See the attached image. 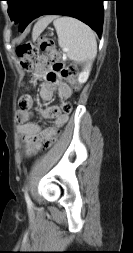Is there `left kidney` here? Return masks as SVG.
Returning <instances> with one entry per match:
<instances>
[{
	"mask_svg": "<svg viewBox=\"0 0 133 253\" xmlns=\"http://www.w3.org/2000/svg\"><path fill=\"white\" fill-rule=\"evenodd\" d=\"M90 74V66L86 67L81 73H79L77 81L79 84H83L87 81Z\"/></svg>",
	"mask_w": 133,
	"mask_h": 253,
	"instance_id": "left-kidney-1",
	"label": "left kidney"
}]
</instances>
